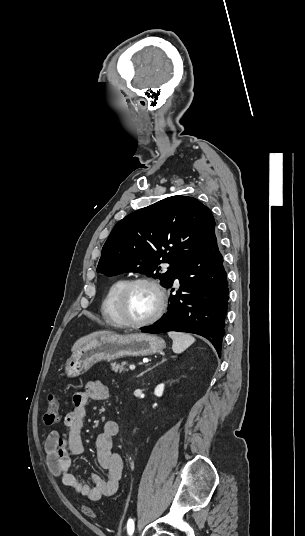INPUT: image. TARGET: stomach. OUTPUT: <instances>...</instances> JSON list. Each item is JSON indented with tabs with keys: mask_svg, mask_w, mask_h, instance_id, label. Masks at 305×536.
Here are the masks:
<instances>
[{
	"mask_svg": "<svg viewBox=\"0 0 305 536\" xmlns=\"http://www.w3.org/2000/svg\"><path fill=\"white\" fill-rule=\"evenodd\" d=\"M166 348L164 340L149 334H104L88 344H84L73 352L65 364V374L68 378L81 376L101 360H117L125 356H152Z\"/></svg>",
	"mask_w": 305,
	"mask_h": 536,
	"instance_id": "obj_1",
	"label": "stomach"
}]
</instances>
